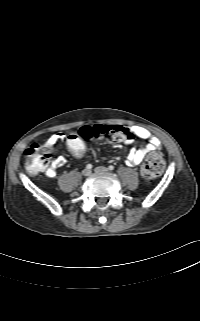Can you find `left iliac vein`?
I'll list each match as a JSON object with an SVG mask.
<instances>
[{"label": "left iliac vein", "instance_id": "left-iliac-vein-1", "mask_svg": "<svg viewBox=\"0 0 200 321\" xmlns=\"http://www.w3.org/2000/svg\"><path fill=\"white\" fill-rule=\"evenodd\" d=\"M108 168L104 167V166H99L95 168V172L97 173H102V172H107Z\"/></svg>", "mask_w": 200, "mask_h": 321}]
</instances>
